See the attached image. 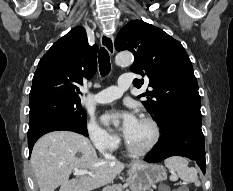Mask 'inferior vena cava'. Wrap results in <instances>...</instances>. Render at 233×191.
Returning a JSON list of instances; mask_svg holds the SVG:
<instances>
[{"label": "inferior vena cava", "mask_w": 233, "mask_h": 191, "mask_svg": "<svg viewBox=\"0 0 233 191\" xmlns=\"http://www.w3.org/2000/svg\"><path fill=\"white\" fill-rule=\"evenodd\" d=\"M101 152L103 153L106 160L115 161V157L107 153L104 148L101 150Z\"/></svg>", "instance_id": "inferior-vena-cava-1"}]
</instances>
